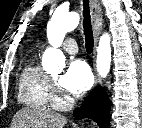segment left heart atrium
Instances as JSON below:
<instances>
[{
  "instance_id": "left-heart-atrium-1",
  "label": "left heart atrium",
  "mask_w": 142,
  "mask_h": 128,
  "mask_svg": "<svg viewBox=\"0 0 142 128\" xmlns=\"http://www.w3.org/2000/svg\"><path fill=\"white\" fill-rule=\"evenodd\" d=\"M92 74L82 60L72 61L60 79L63 89L71 95H81L92 85Z\"/></svg>"
}]
</instances>
